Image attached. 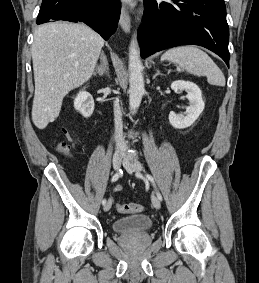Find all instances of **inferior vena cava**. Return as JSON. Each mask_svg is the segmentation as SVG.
I'll return each instance as SVG.
<instances>
[{"label": "inferior vena cava", "mask_w": 259, "mask_h": 283, "mask_svg": "<svg viewBox=\"0 0 259 283\" xmlns=\"http://www.w3.org/2000/svg\"><path fill=\"white\" fill-rule=\"evenodd\" d=\"M115 142L118 149H125L126 142L123 137L122 113L118 101L114 102Z\"/></svg>", "instance_id": "obj_1"}]
</instances>
